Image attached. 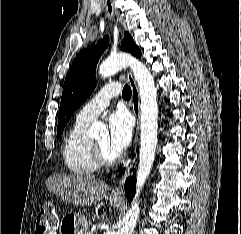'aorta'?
Here are the masks:
<instances>
[{
  "label": "aorta",
  "instance_id": "762f6f07",
  "mask_svg": "<svg viewBox=\"0 0 241 234\" xmlns=\"http://www.w3.org/2000/svg\"><path fill=\"white\" fill-rule=\"evenodd\" d=\"M126 67L132 68L134 78L139 87L141 100L140 153L136 176V196L131 208L123 219V226L117 234H132L134 231L140 212V192L144 187L155 159L158 129L157 89L153 76L143 63L129 54L121 53L110 56L102 62L99 67V74L106 78ZM103 130H106L105 125L97 122L89 128L88 133L96 136Z\"/></svg>",
  "mask_w": 241,
  "mask_h": 234
}]
</instances>
